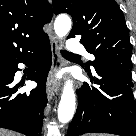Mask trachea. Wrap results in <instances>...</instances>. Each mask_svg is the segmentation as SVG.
<instances>
[{
  "label": "trachea",
  "instance_id": "1",
  "mask_svg": "<svg viewBox=\"0 0 136 136\" xmlns=\"http://www.w3.org/2000/svg\"><path fill=\"white\" fill-rule=\"evenodd\" d=\"M61 53H62V55H64V56H77L76 54L70 53V52L65 51V50H62Z\"/></svg>",
  "mask_w": 136,
  "mask_h": 136
}]
</instances>
